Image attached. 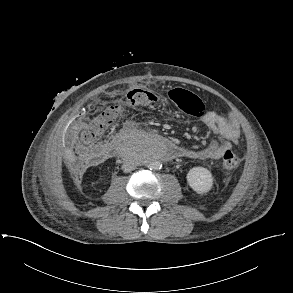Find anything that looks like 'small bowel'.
I'll return each instance as SVG.
<instances>
[{"label": "small bowel", "mask_w": 293, "mask_h": 293, "mask_svg": "<svg viewBox=\"0 0 293 293\" xmlns=\"http://www.w3.org/2000/svg\"><path fill=\"white\" fill-rule=\"evenodd\" d=\"M151 98L152 102H154V95L152 93ZM194 114L201 117L203 124L210 131L212 139L203 149H182L180 152L182 157L199 160H218L222 157L225 150L232 149L238 144L241 137L238 125L213 112H206L205 105L199 98Z\"/></svg>", "instance_id": "c3829d8e"}]
</instances>
